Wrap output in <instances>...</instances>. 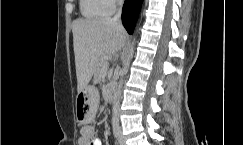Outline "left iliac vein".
<instances>
[{"mask_svg": "<svg viewBox=\"0 0 243 145\" xmlns=\"http://www.w3.org/2000/svg\"><path fill=\"white\" fill-rule=\"evenodd\" d=\"M119 145H126L121 129L119 130Z\"/></svg>", "mask_w": 243, "mask_h": 145, "instance_id": "4c4485c4", "label": "left iliac vein"}]
</instances>
